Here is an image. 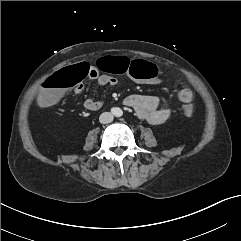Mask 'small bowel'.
Here are the masks:
<instances>
[{"label": "small bowel", "mask_w": 241, "mask_h": 241, "mask_svg": "<svg viewBox=\"0 0 241 241\" xmlns=\"http://www.w3.org/2000/svg\"><path fill=\"white\" fill-rule=\"evenodd\" d=\"M87 78L96 80L100 86H109L113 87L117 85L118 79L110 74L100 72L98 66L91 65V73ZM152 83H160L159 79L152 80ZM84 90V87L79 83L74 88L75 94H81ZM181 93H187L188 98L186 100L180 97V100L183 102H190L193 99V92L191 89L184 88L180 91ZM124 104L128 107L134 109L136 115L146 122L152 125H161L165 123L171 114L170 108L163 106L162 101L159 97L153 95H144V94H131L127 96L124 100ZM103 106L102 100H96L88 98L84 101V107L89 111H96Z\"/></svg>", "instance_id": "small-bowel-1"}]
</instances>
